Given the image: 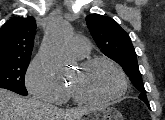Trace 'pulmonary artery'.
Returning a JSON list of instances; mask_svg holds the SVG:
<instances>
[{
	"label": "pulmonary artery",
	"mask_w": 165,
	"mask_h": 120,
	"mask_svg": "<svg viewBox=\"0 0 165 120\" xmlns=\"http://www.w3.org/2000/svg\"><path fill=\"white\" fill-rule=\"evenodd\" d=\"M67 51L74 58L81 59L90 51L89 42L82 37H74L67 46Z\"/></svg>",
	"instance_id": "pulmonary-artery-1"
}]
</instances>
